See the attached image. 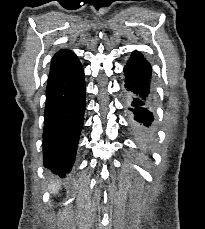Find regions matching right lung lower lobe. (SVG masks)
<instances>
[{"label": "right lung lower lobe", "mask_w": 205, "mask_h": 229, "mask_svg": "<svg viewBox=\"0 0 205 229\" xmlns=\"http://www.w3.org/2000/svg\"><path fill=\"white\" fill-rule=\"evenodd\" d=\"M85 80L80 61L57 52L51 61L44 112V165L64 176L73 165L84 121Z\"/></svg>", "instance_id": "1"}]
</instances>
